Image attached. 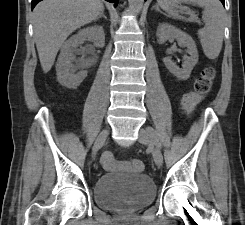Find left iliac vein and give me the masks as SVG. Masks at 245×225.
<instances>
[{"mask_svg":"<svg viewBox=\"0 0 245 225\" xmlns=\"http://www.w3.org/2000/svg\"><path fill=\"white\" fill-rule=\"evenodd\" d=\"M155 134V132H154ZM138 141L141 143V144H145V145H151V142H150V135L149 133L147 132V130L145 129H140L139 130V137H138ZM152 155H153V158H154V161H155V164L160 167L163 163V156H162V153L161 151L156 148V147H152Z\"/></svg>","mask_w":245,"mask_h":225,"instance_id":"4c4485c4","label":"left iliac vein"}]
</instances>
